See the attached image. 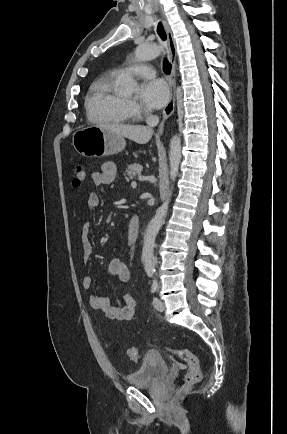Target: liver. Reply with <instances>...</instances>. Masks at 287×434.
Here are the masks:
<instances>
[{"label": "liver", "instance_id": "liver-1", "mask_svg": "<svg viewBox=\"0 0 287 434\" xmlns=\"http://www.w3.org/2000/svg\"><path fill=\"white\" fill-rule=\"evenodd\" d=\"M99 127L108 129L118 135L128 138L138 144H146L150 141L153 131L151 128L142 125L130 124H104Z\"/></svg>", "mask_w": 287, "mask_h": 434}]
</instances>
